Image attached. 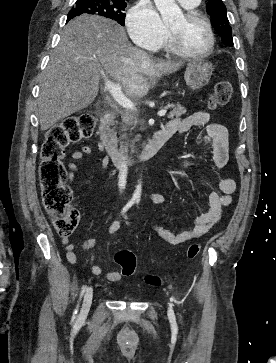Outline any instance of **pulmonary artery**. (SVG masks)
<instances>
[{"label":"pulmonary artery","mask_w":276,"mask_h":363,"mask_svg":"<svg viewBox=\"0 0 276 363\" xmlns=\"http://www.w3.org/2000/svg\"><path fill=\"white\" fill-rule=\"evenodd\" d=\"M200 0H178V2L185 8H193L198 5Z\"/></svg>","instance_id":"obj_1"}]
</instances>
